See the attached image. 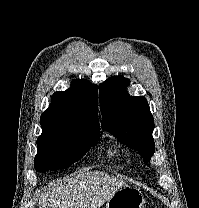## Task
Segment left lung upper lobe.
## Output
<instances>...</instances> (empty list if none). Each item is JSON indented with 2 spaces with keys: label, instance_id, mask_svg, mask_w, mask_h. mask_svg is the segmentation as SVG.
I'll return each mask as SVG.
<instances>
[{
  "label": "left lung upper lobe",
  "instance_id": "obj_1",
  "mask_svg": "<svg viewBox=\"0 0 199 208\" xmlns=\"http://www.w3.org/2000/svg\"><path fill=\"white\" fill-rule=\"evenodd\" d=\"M129 83L122 76H114L99 85L101 126L148 162L155 151L154 120L146 98L132 97L125 91Z\"/></svg>",
  "mask_w": 199,
  "mask_h": 208
}]
</instances>
